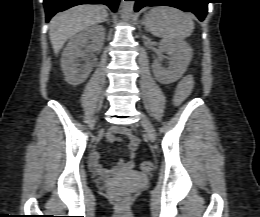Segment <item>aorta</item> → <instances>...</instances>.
<instances>
[{
    "label": "aorta",
    "instance_id": "1",
    "mask_svg": "<svg viewBox=\"0 0 260 217\" xmlns=\"http://www.w3.org/2000/svg\"><path fill=\"white\" fill-rule=\"evenodd\" d=\"M134 1H122L121 16L125 20H130L133 16Z\"/></svg>",
    "mask_w": 260,
    "mask_h": 217
}]
</instances>
